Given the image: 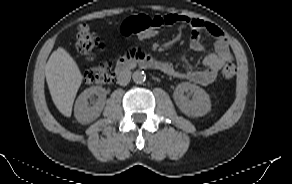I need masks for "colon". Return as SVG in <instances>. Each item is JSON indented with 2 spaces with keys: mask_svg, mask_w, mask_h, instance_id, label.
Segmentation results:
<instances>
[{
  "mask_svg": "<svg viewBox=\"0 0 292 184\" xmlns=\"http://www.w3.org/2000/svg\"><path fill=\"white\" fill-rule=\"evenodd\" d=\"M161 28L155 17L137 15L125 19L120 30L125 36L138 35L141 39L153 40L160 34ZM101 45L100 40L88 24L79 27L75 42L79 53L92 56ZM235 74L236 67L233 63H227L222 69V77L226 80L232 79ZM113 78L112 62L110 60H104L84 73V81L89 84H108L113 81Z\"/></svg>",
  "mask_w": 292,
  "mask_h": 184,
  "instance_id": "obj_1",
  "label": "colon"
}]
</instances>
